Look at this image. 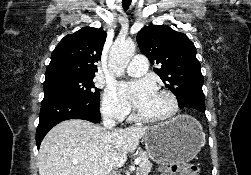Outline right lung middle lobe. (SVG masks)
I'll return each mask as SVG.
<instances>
[{
	"mask_svg": "<svg viewBox=\"0 0 251 175\" xmlns=\"http://www.w3.org/2000/svg\"><path fill=\"white\" fill-rule=\"evenodd\" d=\"M93 78L94 76L68 75L46 77L44 93L49 91H64L83 98L100 96L99 90L94 86Z\"/></svg>",
	"mask_w": 251,
	"mask_h": 175,
	"instance_id": "1",
	"label": "right lung middle lobe"
}]
</instances>
